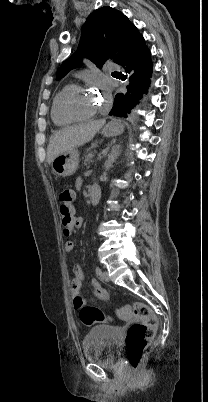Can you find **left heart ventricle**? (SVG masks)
<instances>
[{"instance_id": "left-heart-ventricle-1", "label": "left heart ventricle", "mask_w": 208, "mask_h": 402, "mask_svg": "<svg viewBox=\"0 0 208 402\" xmlns=\"http://www.w3.org/2000/svg\"><path fill=\"white\" fill-rule=\"evenodd\" d=\"M101 98L91 95L86 90L76 92L70 98L71 107L79 112H88L92 110L99 102Z\"/></svg>"}]
</instances>
